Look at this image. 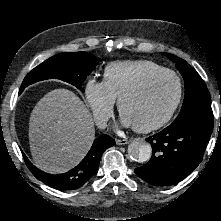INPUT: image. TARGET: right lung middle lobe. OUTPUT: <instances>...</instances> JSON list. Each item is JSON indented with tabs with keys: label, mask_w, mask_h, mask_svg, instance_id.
Segmentation results:
<instances>
[{
	"label": "right lung middle lobe",
	"mask_w": 221,
	"mask_h": 221,
	"mask_svg": "<svg viewBox=\"0 0 221 221\" xmlns=\"http://www.w3.org/2000/svg\"><path fill=\"white\" fill-rule=\"evenodd\" d=\"M99 61L100 58L86 52L55 55L26 75L19 92L21 93L25 87L37 81L52 78L68 82L83 91L82 83Z\"/></svg>",
	"instance_id": "right-lung-middle-lobe-1"
}]
</instances>
